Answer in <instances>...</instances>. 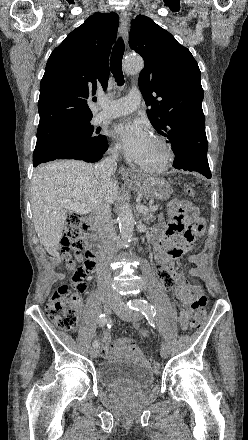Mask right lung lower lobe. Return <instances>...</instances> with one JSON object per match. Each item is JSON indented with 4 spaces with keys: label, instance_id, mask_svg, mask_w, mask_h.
Wrapping results in <instances>:
<instances>
[{
    "label": "right lung lower lobe",
    "instance_id": "obj_1",
    "mask_svg": "<svg viewBox=\"0 0 248 440\" xmlns=\"http://www.w3.org/2000/svg\"><path fill=\"white\" fill-rule=\"evenodd\" d=\"M77 122L64 124L55 129L54 132L63 133ZM101 137L102 141L99 145L85 147H81V144H73L70 146L62 147L59 145H55L48 136L39 138L37 139L36 147L33 153V166L36 167L41 163L52 161L55 159H75L86 162H97L102 158L103 154L108 148L106 136Z\"/></svg>",
    "mask_w": 248,
    "mask_h": 440
}]
</instances>
